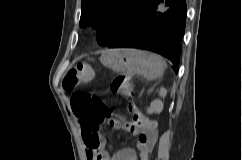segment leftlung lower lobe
I'll return each mask as SVG.
<instances>
[{
  "mask_svg": "<svg viewBox=\"0 0 242 160\" xmlns=\"http://www.w3.org/2000/svg\"><path fill=\"white\" fill-rule=\"evenodd\" d=\"M186 12L185 0H149L133 25L108 47L159 53L168 58L178 72Z\"/></svg>",
  "mask_w": 242,
  "mask_h": 160,
  "instance_id": "0a47b994",
  "label": "left lung lower lobe"
}]
</instances>
